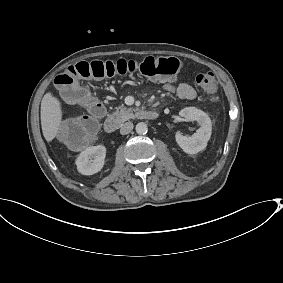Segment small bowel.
I'll list each match as a JSON object with an SVG mask.
<instances>
[{
    "label": "small bowel",
    "mask_w": 283,
    "mask_h": 283,
    "mask_svg": "<svg viewBox=\"0 0 283 283\" xmlns=\"http://www.w3.org/2000/svg\"><path fill=\"white\" fill-rule=\"evenodd\" d=\"M164 89L167 92L176 93L181 99L188 101L195 99L197 95L195 89L187 83H166Z\"/></svg>",
    "instance_id": "small-bowel-1"
}]
</instances>
